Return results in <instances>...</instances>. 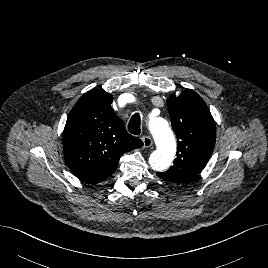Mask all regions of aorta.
<instances>
[{"label": "aorta", "mask_w": 268, "mask_h": 268, "mask_svg": "<svg viewBox=\"0 0 268 268\" xmlns=\"http://www.w3.org/2000/svg\"><path fill=\"white\" fill-rule=\"evenodd\" d=\"M150 130L157 145L151 153L149 164L155 171H164L172 163L176 153V141L168 122L160 117L150 119Z\"/></svg>", "instance_id": "aorta-1"}]
</instances>
